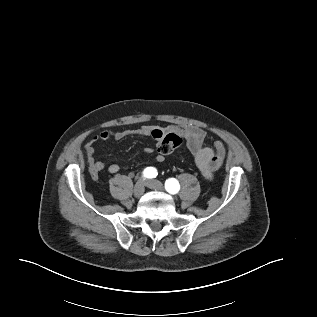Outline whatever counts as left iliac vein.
Listing matches in <instances>:
<instances>
[{
    "mask_svg": "<svg viewBox=\"0 0 317 317\" xmlns=\"http://www.w3.org/2000/svg\"><path fill=\"white\" fill-rule=\"evenodd\" d=\"M146 186L148 188H150V189H153V190H158V191H162L163 190V185L158 180H148L146 182Z\"/></svg>",
    "mask_w": 317,
    "mask_h": 317,
    "instance_id": "obj_1",
    "label": "left iliac vein"
}]
</instances>
